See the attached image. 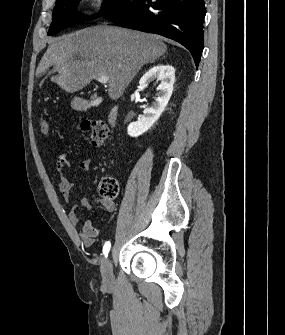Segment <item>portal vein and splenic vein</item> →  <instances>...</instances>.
<instances>
[{
    "label": "portal vein and splenic vein",
    "instance_id": "1",
    "mask_svg": "<svg viewBox=\"0 0 285 335\" xmlns=\"http://www.w3.org/2000/svg\"><path fill=\"white\" fill-rule=\"evenodd\" d=\"M97 80L100 84H108L109 76H98Z\"/></svg>",
    "mask_w": 285,
    "mask_h": 335
}]
</instances>
